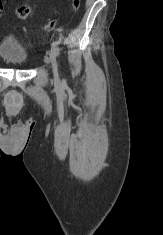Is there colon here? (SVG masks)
<instances>
[{
  "label": "colon",
  "instance_id": "obj_1",
  "mask_svg": "<svg viewBox=\"0 0 163 235\" xmlns=\"http://www.w3.org/2000/svg\"><path fill=\"white\" fill-rule=\"evenodd\" d=\"M70 4L73 10H78L80 6V0H70ZM3 11V2L0 0V14ZM31 13V8L27 5H22L16 9V15L20 19H27ZM57 24L56 20H49L47 21L43 28L46 31L53 30Z\"/></svg>",
  "mask_w": 163,
  "mask_h": 235
}]
</instances>
